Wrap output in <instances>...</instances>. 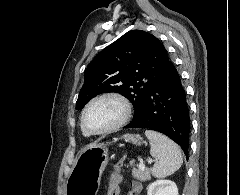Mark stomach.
Segmentation results:
<instances>
[{"label":"stomach","instance_id":"stomach-1","mask_svg":"<svg viewBox=\"0 0 240 195\" xmlns=\"http://www.w3.org/2000/svg\"><path fill=\"white\" fill-rule=\"evenodd\" d=\"M122 139L142 145L139 133H124ZM107 143H89L78 151L71 173L67 179V195H97L102 173L109 161Z\"/></svg>","mask_w":240,"mask_h":195}]
</instances>
